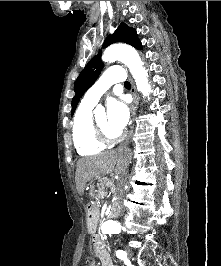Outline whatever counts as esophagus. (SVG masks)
<instances>
[{
  "label": "esophagus",
  "mask_w": 221,
  "mask_h": 266,
  "mask_svg": "<svg viewBox=\"0 0 221 266\" xmlns=\"http://www.w3.org/2000/svg\"><path fill=\"white\" fill-rule=\"evenodd\" d=\"M130 83H131V94L133 96V102L131 104V116H132V119H131V122L133 121L134 117H135V105L138 103V96L136 94V89H135V85H134V82H133V79L130 77ZM133 125L131 126L130 128V131L125 139V142H124V145H128L131 141V137H132V134H133Z\"/></svg>",
  "instance_id": "1"
}]
</instances>
